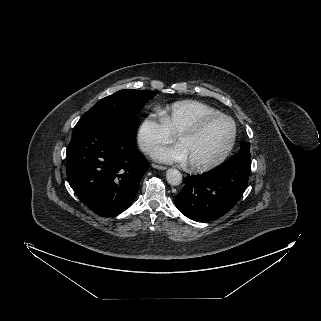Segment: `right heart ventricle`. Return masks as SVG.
<instances>
[{"mask_svg":"<svg viewBox=\"0 0 321 321\" xmlns=\"http://www.w3.org/2000/svg\"><path fill=\"white\" fill-rule=\"evenodd\" d=\"M219 113L214 107L197 100L175 102L160 111L164 124L171 134L197 121L199 118Z\"/></svg>","mask_w":321,"mask_h":321,"instance_id":"e07e8e85","label":"right heart ventricle"}]
</instances>
